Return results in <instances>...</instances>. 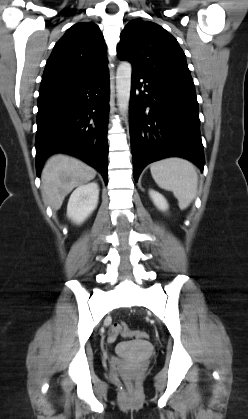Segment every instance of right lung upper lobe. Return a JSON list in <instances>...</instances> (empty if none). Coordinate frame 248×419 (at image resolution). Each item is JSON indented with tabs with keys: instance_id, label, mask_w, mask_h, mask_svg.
<instances>
[{
	"instance_id": "right-lung-upper-lobe-1",
	"label": "right lung upper lobe",
	"mask_w": 248,
	"mask_h": 419,
	"mask_svg": "<svg viewBox=\"0 0 248 419\" xmlns=\"http://www.w3.org/2000/svg\"><path fill=\"white\" fill-rule=\"evenodd\" d=\"M105 69L106 45L99 27L80 22L69 28L54 46L40 88L89 79Z\"/></svg>"
}]
</instances>
